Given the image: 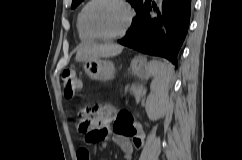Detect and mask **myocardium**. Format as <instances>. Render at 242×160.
Segmentation results:
<instances>
[{
	"label": "myocardium",
	"instance_id": "obj_1",
	"mask_svg": "<svg viewBox=\"0 0 242 160\" xmlns=\"http://www.w3.org/2000/svg\"><path fill=\"white\" fill-rule=\"evenodd\" d=\"M96 1L97 0H89L86 3V5L83 7L82 12H81V23H82V26H83L84 30L86 31V33L94 39H101V40H115V39L125 36L131 29V26L133 24V20L135 17L134 10H133L132 6L130 5V3L127 0H116L118 3H120L125 8V10L127 12L126 24L122 30H120L119 32L114 33V34H97V33H94L89 28V26L86 22L87 10Z\"/></svg>",
	"mask_w": 242,
	"mask_h": 160
}]
</instances>
